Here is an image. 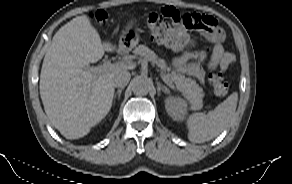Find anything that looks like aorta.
<instances>
[{
  "instance_id": "aorta-1",
  "label": "aorta",
  "mask_w": 292,
  "mask_h": 184,
  "mask_svg": "<svg viewBox=\"0 0 292 184\" xmlns=\"http://www.w3.org/2000/svg\"><path fill=\"white\" fill-rule=\"evenodd\" d=\"M151 82L142 77H137L133 80L131 88L134 94L136 95H146L148 94L151 88Z\"/></svg>"
}]
</instances>
